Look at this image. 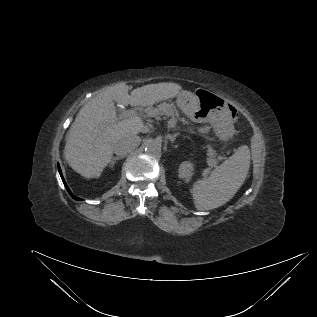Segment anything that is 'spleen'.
I'll return each mask as SVG.
<instances>
[{
	"label": "spleen",
	"mask_w": 317,
	"mask_h": 317,
	"mask_svg": "<svg viewBox=\"0 0 317 317\" xmlns=\"http://www.w3.org/2000/svg\"><path fill=\"white\" fill-rule=\"evenodd\" d=\"M250 167V150L241 146L215 168L207 179L193 184L192 197L197 210L218 208L228 202L243 184Z\"/></svg>",
	"instance_id": "1"
}]
</instances>
